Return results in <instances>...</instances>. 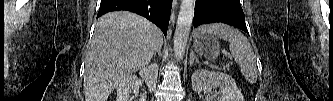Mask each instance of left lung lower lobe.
<instances>
[{
    "mask_svg": "<svg viewBox=\"0 0 333 101\" xmlns=\"http://www.w3.org/2000/svg\"><path fill=\"white\" fill-rule=\"evenodd\" d=\"M222 22L248 33L239 0H197L194 27Z\"/></svg>",
    "mask_w": 333,
    "mask_h": 101,
    "instance_id": "left-lung-lower-lobe-1",
    "label": "left lung lower lobe"
}]
</instances>
